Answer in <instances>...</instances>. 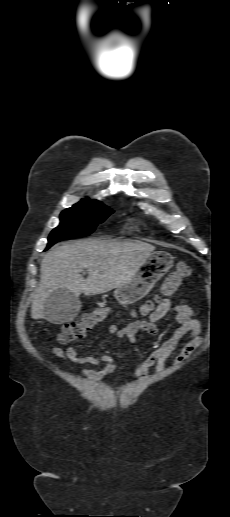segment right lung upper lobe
<instances>
[{"label": "right lung upper lobe", "mask_w": 230, "mask_h": 517, "mask_svg": "<svg viewBox=\"0 0 230 517\" xmlns=\"http://www.w3.org/2000/svg\"><path fill=\"white\" fill-rule=\"evenodd\" d=\"M84 201H89V199H83V200H82V201H80V202H84Z\"/></svg>", "instance_id": "right-lung-upper-lobe-1"}]
</instances>
